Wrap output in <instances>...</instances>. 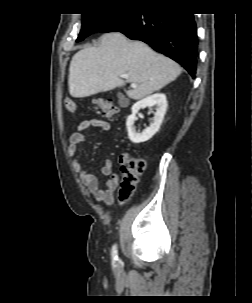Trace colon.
Returning <instances> with one entry per match:
<instances>
[{"instance_id":"obj_1","label":"colon","mask_w":252,"mask_h":303,"mask_svg":"<svg viewBox=\"0 0 252 303\" xmlns=\"http://www.w3.org/2000/svg\"><path fill=\"white\" fill-rule=\"evenodd\" d=\"M93 104L106 117H111L117 112V107L112 102L94 99ZM64 106L70 113L76 111V103L70 97L65 98ZM145 168L146 161L143 157L123 155L121 164L122 182L119 190V200L121 202L130 200Z\"/></svg>"}]
</instances>
